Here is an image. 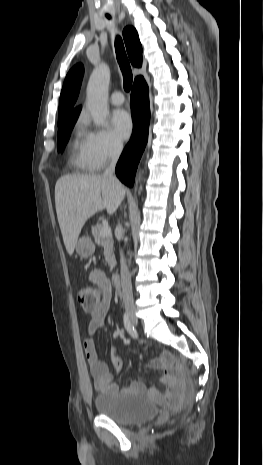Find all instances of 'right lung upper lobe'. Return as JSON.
I'll return each mask as SVG.
<instances>
[{"instance_id":"right-lung-upper-lobe-1","label":"right lung upper lobe","mask_w":263,"mask_h":465,"mask_svg":"<svg viewBox=\"0 0 263 465\" xmlns=\"http://www.w3.org/2000/svg\"><path fill=\"white\" fill-rule=\"evenodd\" d=\"M127 53L133 66L142 65V46L138 34L133 27L123 30ZM84 68L82 64L75 65L67 74L60 95L58 122L80 113L81 106L73 109L79 94Z\"/></svg>"}]
</instances>
